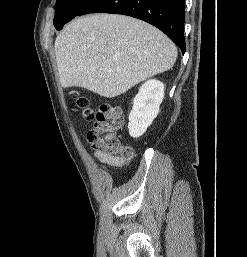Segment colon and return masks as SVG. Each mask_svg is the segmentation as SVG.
<instances>
[{
	"mask_svg": "<svg viewBox=\"0 0 247 257\" xmlns=\"http://www.w3.org/2000/svg\"><path fill=\"white\" fill-rule=\"evenodd\" d=\"M75 102L84 119L92 122L87 135L92 148L113 156H132L131 148L122 145L117 137V132L123 125V114L118 107L106 102L94 111L85 97H75Z\"/></svg>",
	"mask_w": 247,
	"mask_h": 257,
	"instance_id": "obj_1",
	"label": "colon"
}]
</instances>
